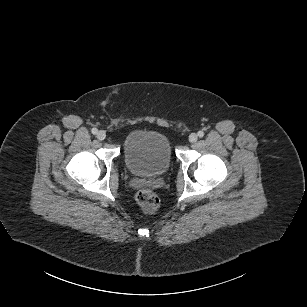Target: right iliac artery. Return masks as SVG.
I'll return each instance as SVG.
<instances>
[{"label": "right iliac artery", "mask_w": 307, "mask_h": 307, "mask_svg": "<svg viewBox=\"0 0 307 307\" xmlns=\"http://www.w3.org/2000/svg\"><path fill=\"white\" fill-rule=\"evenodd\" d=\"M91 132H92L93 134H97L98 130H97L96 128H93V129L91 130Z\"/></svg>", "instance_id": "1"}]
</instances>
